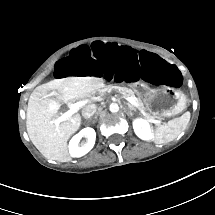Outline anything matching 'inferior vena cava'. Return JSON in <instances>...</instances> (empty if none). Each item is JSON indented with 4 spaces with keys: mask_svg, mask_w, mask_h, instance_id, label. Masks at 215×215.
I'll return each instance as SVG.
<instances>
[{
    "mask_svg": "<svg viewBox=\"0 0 215 215\" xmlns=\"http://www.w3.org/2000/svg\"><path fill=\"white\" fill-rule=\"evenodd\" d=\"M97 107L95 104H89L86 105L83 109H82V116L85 119H90L95 113H96Z\"/></svg>",
    "mask_w": 215,
    "mask_h": 215,
    "instance_id": "602c4592",
    "label": "inferior vena cava"
}]
</instances>
